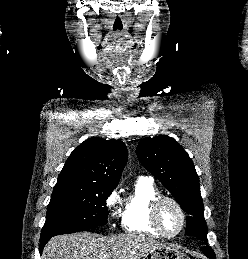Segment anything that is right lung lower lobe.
<instances>
[{
	"label": "right lung lower lobe",
	"instance_id": "98d812e1",
	"mask_svg": "<svg viewBox=\"0 0 248 259\" xmlns=\"http://www.w3.org/2000/svg\"><path fill=\"white\" fill-rule=\"evenodd\" d=\"M51 238V236L48 237H41L40 238V246H39V252L41 253L45 244L48 242V240Z\"/></svg>",
	"mask_w": 248,
	"mask_h": 259
}]
</instances>
